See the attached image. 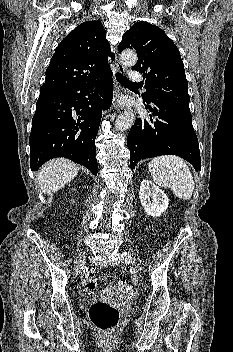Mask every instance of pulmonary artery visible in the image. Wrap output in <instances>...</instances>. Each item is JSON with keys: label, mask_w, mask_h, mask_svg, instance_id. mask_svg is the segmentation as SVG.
<instances>
[{"label": "pulmonary artery", "mask_w": 233, "mask_h": 352, "mask_svg": "<svg viewBox=\"0 0 233 352\" xmlns=\"http://www.w3.org/2000/svg\"><path fill=\"white\" fill-rule=\"evenodd\" d=\"M129 80L131 82H141L142 81V75L136 70H133L129 74Z\"/></svg>", "instance_id": "1"}]
</instances>
